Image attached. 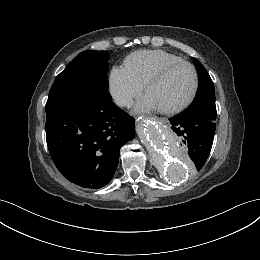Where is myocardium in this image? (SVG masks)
Wrapping results in <instances>:
<instances>
[{
  "instance_id": "1",
  "label": "myocardium",
  "mask_w": 260,
  "mask_h": 260,
  "mask_svg": "<svg viewBox=\"0 0 260 260\" xmlns=\"http://www.w3.org/2000/svg\"><path fill=\"white\" fill-rule=\"evenodd\" d=\"M180 65H185L190 70L191 81H190L189 88L186 91V93L179 100H177L173 104L160 108L161 111H163V112H172V111L177 110L182 105H184L188 101V99L191 97V95L193 94V91L195 89L196 81H197V74H196L195 68L193 67V65L190 62L185 61V60L171 62V63L165 64V65L161 66L160 68H158L154 73H152L148 77V79L145 82L144 89H145V92L147 93L149 88L153 84H155L157 81H159L167 72H169L171 69H173L177 66H180Z\"/></svg>"
}]
</instances>
